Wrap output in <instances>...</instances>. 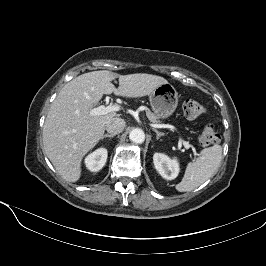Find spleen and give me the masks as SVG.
Segmentation results:
<instances>
[{
    "label": "spleen",
    "mask_w": 266,
    "mask_h": 266,
    "mask_svg": "<svg viewBox=\"0 0 266 266\" xmlns=\"http://www.w3.org/2000/svg\"><path fill=\"white\" fill-rule=\"evenodd\" d=\"M221 159L222 147L220 145L203 149L199 158L188 163L181 182L176 185V190L189 192L199 187L216 173Z\"/></svg>",
    "instance_id": "spleen-1"
}]
</instances>
